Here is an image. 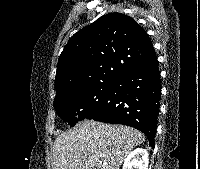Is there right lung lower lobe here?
<instances>
[{"label":"right lung lower lobe","mask_w":200,"mask_h":169,"mask_svg":"<svg viewBox=\"0 0 200 169\" xmlns=\"http://www.w3.org/2000/svg\"><path fill=\"white\" fill-rule=\"evenodd\" d=\"M160 95V72L156 60L119 76L104 103L86 119L137 128L154 148Z\"/></svg>","instance_id":"1"}]
</instances>
